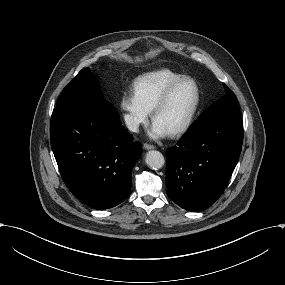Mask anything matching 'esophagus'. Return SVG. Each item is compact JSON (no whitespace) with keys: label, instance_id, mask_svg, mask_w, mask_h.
Returning a JSON list of instances; mask_svg holds the SVG:
<instances>
[{"label":"esophagus","instance_id":"34e87169","mask_svg":"<svg viewBox=\"0 0 285 285\" xmlns=\"http://www.w3.org/2000/svg\"><path fill=\"white\" fill-rule=\"evenodd\" d=\"M143 148H144L145 150H151V149H154L155 146L150 145V144H143Z\"/></svg>","mask_w":285,"mask_h":285}]
</instances>
